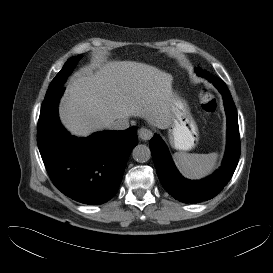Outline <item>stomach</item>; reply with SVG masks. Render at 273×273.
I'll use <instances>...</instances> for the list:
<instances>
[{
    "label": "stomach",
    "instance_id": "obj_1",
    "mask_svg": "<svg viewBox=\"0 0 273 273\" xmlns=\"http://www.w3.org/2000/svg\"><path fill=\"white\" fill-rule=\"evenodd\" d=\"M171 125L169 126L170 142L175 149L190 150L198 141V128L187 102L177 93L173 94L170 104Z\"/></svg>",
    "mask_w": 273,
    "mask_h": 273
}]
</instances>
